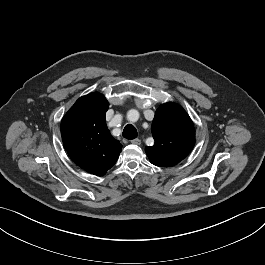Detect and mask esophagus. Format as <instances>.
I'll list each match as a JSON object with an SVG mask.
<instances>
[{
  "instance_id": "obj_1",
  "label": "esophagus",
  "mask_w": 265,
  "mask_h": 265,
  "mask_svg": "<svg viewBox=\"0 0 265 265\" xmlns=\"http://www.w3.org/2000/svg\"><path fill=\"white\" fill-rule=\"evenodd\" d=\"M131 143H132V144H135V145H140V144H141V140L138 139V138H136V139H133V140L131 141Z\"/></svg>"
}]
</instances>
